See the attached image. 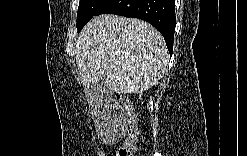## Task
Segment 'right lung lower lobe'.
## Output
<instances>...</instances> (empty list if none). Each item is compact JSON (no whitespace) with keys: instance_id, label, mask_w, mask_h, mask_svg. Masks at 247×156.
<instances>
[{"instance_id":"1","label":"right lung lower lobe","mask_w":247,"mask_h":156,"mask_svg":"<svg viewBox=\"0 0 247 156\" xmlns=\"http://www.w3.org/2000/svg\"><path fill=\"white\" fill-rule=\"evenodd\" d=\"M117 14L149 22L164 37L170 55L175 32V0H107L97 15Z\"/></svg>"}]
</instances>
